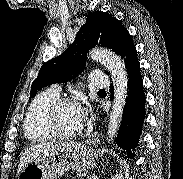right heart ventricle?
<instances>
[{"instance_id": "right-heart-ventricle-1", "label": "right heart ventricle", "mask_w": 183, "mask_h": 179, "mask_svg": "<svg viewBox=\"0 0 183 179\" xmlns=\"http://www.w3.org/2000/svg\"><path fill=\"white\" fill-rule=\"evenodd\" d=\"M59 97L54 89L44 90L36 95L31 102L24 121L25 136L33 142H42L52 136L44 127V114L49 105Z\"/></svg>"}]
</instances>
